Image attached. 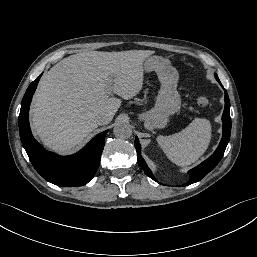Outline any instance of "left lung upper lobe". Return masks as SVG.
Segmentation results:
<instances>
[{
	"label": "left lung upper lobe",
	"mask_w": 257,
	"mask_h": 257,
	"mask_svg": "<svg viewBox=\"0 0 257 257\" xmlns=\"http://www.w3.org/2000/svg\"><path fill=\"white\" fill-rule=\"evenodd\" d=\"M215 78H216V80L218 81V82H220V80H219V78H218V76L215 74Z\"/></svg>",
	"instance_id": "1"
}]
</instances>
